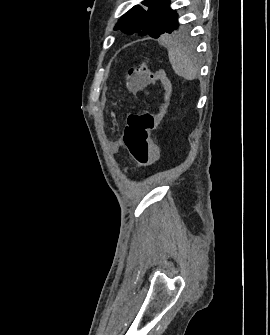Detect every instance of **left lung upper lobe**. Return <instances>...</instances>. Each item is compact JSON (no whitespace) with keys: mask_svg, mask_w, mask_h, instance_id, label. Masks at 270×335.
Masks as SVG:
<instances>
[{"mask_svg":"<svg viewBox=\"0 0 270 335\" xmlns=\"http://www.w3.org/2000/svg\"><path fill=\"white\" fill-rule=\"evenodd\" d=\"M142 4L148 8L134 6L119 19L115 30L120 29L127 34H148L153 38L185 30L184 26L179 27L178 15L169 7V0H145Z\"/></svg>","mask_w":270,"mask_h":335,"instance_id":"1","label":"left lung upper lobe"}]
</instances>
